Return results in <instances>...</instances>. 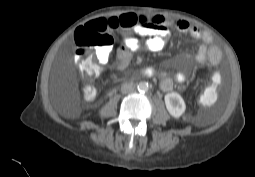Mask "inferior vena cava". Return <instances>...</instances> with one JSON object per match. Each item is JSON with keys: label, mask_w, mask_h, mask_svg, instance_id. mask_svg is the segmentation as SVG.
Listing matches in <instances>:
<instances>
[{"label": "inferior vena cava", "mask_w": 255, "mask_h": 177, "mask_svg": "<svg viewBox=\"0 0 255 177\" xmlns=\"http://www.w3.org/2000/svg\"><path fill=\"white\" fill-rule=\"evenodd\" d=\"M136 89L135 85L133 83H123L121 86V92L123 94H129L134 92Z\"/></svg>", "instance_id": "obj_1"}]
</instances>
